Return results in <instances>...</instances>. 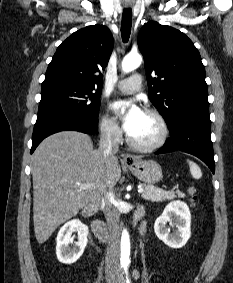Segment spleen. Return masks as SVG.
I'll list each match as a JSON object with an SVG mask.
<instances>
[{
  "label": "spleen",
  "instance_id": "3e777b00",
  "mask_svg": "<svg viewBox=\"0 0 233 283\" xmlns=\"http://www.w3.org/2000/svg\"><path fill=\"white\" fill-rule=\"evenodd\" d=\"M188 164H189V168H190V172L193 178L195 179H199L202 177V172L200 167L194 163L193 161L187 160Z\"/></svg>",
  "mask_w": 233,
  "mask_h": 283
}]
</instances>
